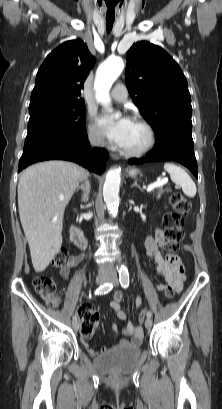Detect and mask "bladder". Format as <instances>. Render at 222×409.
Masks as SVG:
<instances>
[{
  "instance_id": "1",
  "label": "bladder",
  "mask_w": 222,
  "mask_h": 409,
  "mask_svg": "<svg viewBox=\"0 0 222 409\" xmlns=\"http://www.w3.org/2000/svg\"><path fill=\"white\" fill-rule=\"evenodd\" d=\"M140 354L139 345H117L95 357L94 368L102 374H126L135 368Z\"/></svg>"
}]
</instances>
